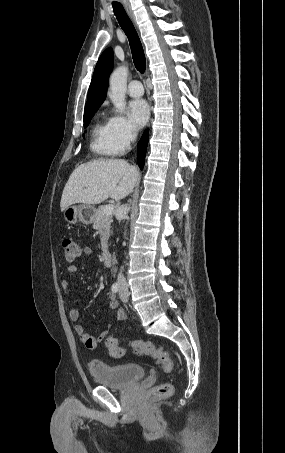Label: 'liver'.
Masks as SVG:
<instances>
[{"label":"liver","instance_id":"liver-1","mask_svg":"<svg viewBox=\"0 0 285 453\" xmlns=\"http://www.w3.org/2000/svg\"><path fill=\"white\" fill-rule=\"evenodd\" d=\"M139 171L123 159H99L79 165L70 175L60 202L61 211L76 203L99 204L130 194Z\"/></svg>","mask_w":285,"mask_h":453}]
</instances>
